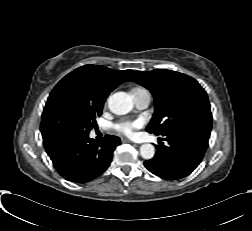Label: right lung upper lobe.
I'll return each instance as SVG.
<instances>
[{
    "mask_svg": "<svg viewBox=\"0 0 252 231\" xmlns=\"http://www.w3.org/2000/svg\"><path fill=\"white\" fill-rule=\"evenodd\" d=\"M131 72V70L115 71L104 66L84 65L66 75L55 87L74 86L89 97L105 100ZM52 151L49 150L47 153Z\"/></svg>",
    "mask_w": 252,
    "mask_h": 231,
    "instance_id": "obj_1",
    "label": "right lung upper lobe"
}]
</instances>
